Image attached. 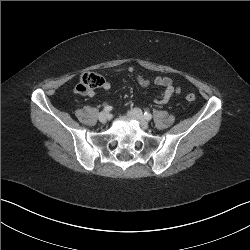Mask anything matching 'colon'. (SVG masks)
<instances>
[{
    "instance_id": "obj_1",
    "label": "colon",
    "mask_w": 250,
    "mask_h": 250,
    "mask_svg": "<svg viewBox=\"0 0 250 250\" xmlns=\"http://www.w3.org/2000/svg\"><path fill=\"white\" fill-rule=\"evenodd\" d=\"M103 84V78L93 72H87L81 75L78 84L75 87V91L79 94H86L89 91H92ZM196 97L194 94H188L186 96V101L194 102Z\"/></svg>"
}]
</instances>
